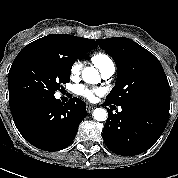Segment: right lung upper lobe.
Wrapping results in <instances>:
<instances>
[{
  "label": "right lung upper lobe",
  "mask_w": 178,
  "mask_h": 178,
  "mask_svg": "<svg viewBox=\"0 0 178 178\" xmlns=\"http://www.w3.org/2000/svg\"><path fill=\"white\" fill-rule=\"evenodd\" d=\"M46 46L66 52L76 60L83 54L96 48L95 40L66 34H50L44 36L25 47Z\"/></svg>",
  "instance_id": "1"
}]
</instances>
